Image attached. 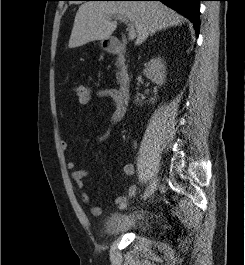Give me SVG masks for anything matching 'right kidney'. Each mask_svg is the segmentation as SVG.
I'll list each match as a JSON object with an SVG mask.
<instances>
[{"label": "right kidney", "mask_w": 245, "mask_h": 265, "mask_svg": "<svg viewBox=\"0 0 245 265\" xmlns=\"http://www.w3.org/2000/svg\"><path fill=\"white\" fill-rule=\"evenodd\" d=\"M143 73L152 82H154L158 86H162L165 82L166 77V68L163 60L159 57L151 59L147 63ZM155 99L156 97L151 98L150 102L154 103ZM138 100L139 99L137 98V102Z\"/></svg>", "instance_id": "ca27d5eb"}]
</instances>
